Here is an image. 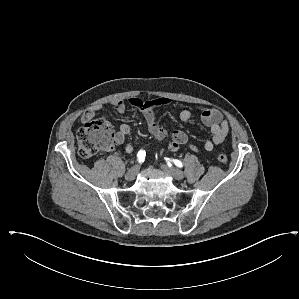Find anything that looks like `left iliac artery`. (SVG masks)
<instances>
[{"instance_id": "obj_1", "label": "left iliac artery", "mask_w": 299, "mask_h": 299, "mask_svg": "<svg viewBox=\"0 0 299 299\" xmlns=\"http://www.w3.org/2000/svg\"><path fill=\"white\" fill-rule=\"evenodd\" d=\"M166 160L172 161L176 166H178L180 168L183 167V164H182V162L180 160H177V159L170 160L168 158H166Z\"/></svg>"}]
</instances>
